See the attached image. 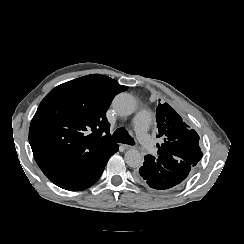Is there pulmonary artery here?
Returning a JSON list of instances; mask_svg holds the SVG:
<instances>
[{"instance_id":"1","label":"pulmonary artery","mask_w":244,"mask_h":244,"mask_svg":"<svg viewBox=\"0 0 244 244\" xmlns=\"http://www.w3.org/2000/svg\"><path fill=\"white\" fill-rule=\"evenodd\" d=\"M150 120V113L146 109H138L133 117L127 121V128L131 132H136L137 143L144 149L152 146V140L147 135V127Z\"/></svg>"}]
</instances>
